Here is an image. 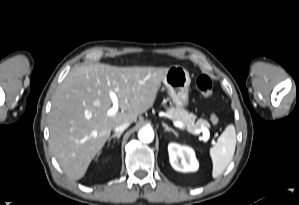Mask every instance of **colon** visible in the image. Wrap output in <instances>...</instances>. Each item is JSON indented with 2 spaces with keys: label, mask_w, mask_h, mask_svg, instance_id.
Masks as SVG:
<instances>
[{
  "label": "colon",
  "mask_w": 299,
  "mask_h": 205,
  "mask_svg": "<svg viewBox=\"0 0 299 205\" xmlns=\"http://www.w3.org/2000/svg\"><path fill=\"white\" fill-rule=\"evenodd\" d=\"M195 83L198 91L203 97L208 98L212 95L213 84L211 79L207 75L198 76ZM210 119L213 124H217L219 121L216 114H211Z\"/></svg>",
  "instance_id": "1"
}]
</instances>
